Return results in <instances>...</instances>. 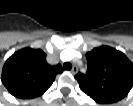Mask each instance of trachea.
I'll return each instance as SVG.
<instances>
[{
    "label": "trachea",
    "instance_id": "3493384b",
    "mask_svg": "<svg viewBox=\"0 0 133 106\" xmlns=\"http://www.w3.org/2000/svg\"><path fill=\"white\" fill-rule=\"evenodd\" d=\"M63 68H64L65 70H71L72 65H71V63H69V62H65V63L63 64Z\"/></svg>",
    "mask_w": 133,
    "mask_h": 106
}]
</instances>
